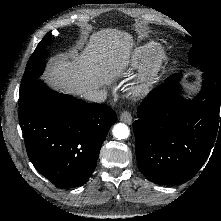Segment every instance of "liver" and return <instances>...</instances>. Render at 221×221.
<instances>
[{
    "mask_svg": "<svg viewBox=\"0 0 221 221\" xmlns=\"http://www.w3.org/2000/svg\"><path fill=\"white\" fill-rule=\"evenodd\" d=\"M132 46L129 33L103 29L90 36L81 54L52 59L44 79L56 89L84 96L89 90L109 85L122 72L129 63Z\"/></svg>",
    "mask_w": 221,
    "mask_h": 221,
    "instance_id": "obj_1",
    "label": "liver"
}]
</instances>
